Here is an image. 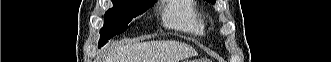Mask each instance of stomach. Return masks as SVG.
I'll use <instances>...</instances> for the list:
<instances>
[{
  "label": "stomach",
  "instance_id": "1",
  "mask_svg": "<svg viewBox=\"0 0 331 62\" xmlns=\"http://www.w3.org/2000/svg\"><path fill=\"white\" fill-rule=\"evenodd\" d=\"M181 62H193V61H190V60H185V61H181Z\"/></svg>",
  "mask_w": 331,
  "mask_h": 62
}]
</instances>
